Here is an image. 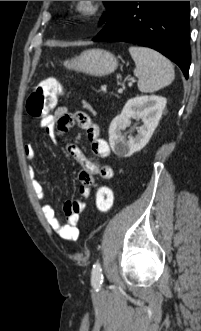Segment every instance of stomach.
Returning <instances> with one entry per match:
<instances>
[{"mask_svg": "<svg viewBox=\"0 0 201 331\" xmlns=\"http://www.w3.org/2000/svg\"><path fill=\"white\" fill-rule=\"evenodd\" d=\"M64 66L94 76H105L118 66L117 58L109 51L90 49L64 62Z\"/></svg>", "mask_w": 201, "mask_h": 331, "instance_id": "obj_1", "label": "stomach"}]
</instances>
